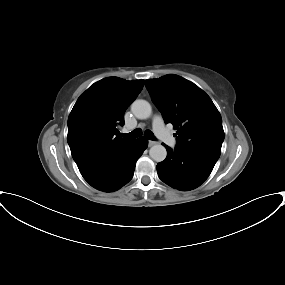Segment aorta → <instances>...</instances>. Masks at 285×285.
<instances>
[{"instance_id":"762f6f07","label":"aorta","mask_w":285,"mask_h":285,"mask_svg":"<svg viewBox=\"0 0 285 285\" xmlns=\"http://www.w3.org/2000/svg\"><path fill=\"white\" fill-rule=\"evenodd\" d=\"M131 111L138 119H147L152 113V108L146 100H135L131 105ZM150 157L156 162H162L167 156L166 148L161 144L152 146L149 150Z\"/></svg>"}]
</instances>
